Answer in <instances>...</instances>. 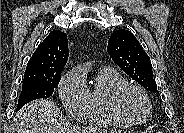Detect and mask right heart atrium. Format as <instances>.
<instances>
[{"label": "right heart atrium", "instance_id": "obj_1", "mask_svg": "<svg viewBox=\"0 0 184 133\" xmlns=\"http://www.w3.org/2000/svg\"><path fill=\"white\" fill-rule=\"evenodd\" d=\"M59 97L68 113L75 120L87 118L90 91L87 86L84 74L80 69H73L66 73L60 80Z\"/></svg>", "mask_w": 184, "mask_h": 133}]
</instances>
